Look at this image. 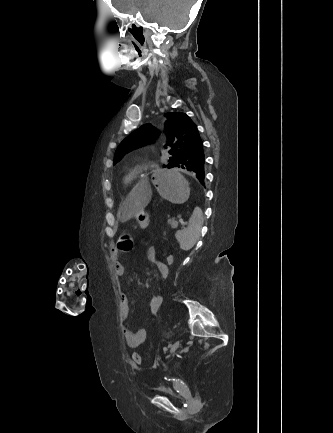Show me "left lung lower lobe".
<instances>
[{"label": "left lung lower lobe", "mask_w": 333, "mask_h": 433, "mask_svg": "<svg viewBox=\"0 0 333 433\" xmlns=\"http://www.w3.org/2000/svg\"><path fill=\"white\" fill-rule=\"evenodd\" d=\"M205 156L203 142L200 139L196 144L190 147L176 162V168H181L195 176L203 185L205 178L204 171Z\"/></svg>", "instance_id": "obj_1"}]
</instances>
